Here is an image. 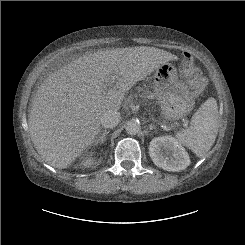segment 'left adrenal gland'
I'll use <instances>...</instances> for the list:
<instances>
[{"label": "left adrenal gland", "instance_id": "left-adrenal-gland-1", "mask_svg": "<svg viewBox=\"0 0 245 245\" xmlns=\"http://www.w3.org/2000/svg\"><path fill=\"white\" fill-rule=\"evenodd\" d=\"M149 129H150V130H153V129H155V130H156V126H155V125H153V124H150V125H149Z\"/></svg>", "mask_w": 245, "mask_h": 245}]
</instances>
